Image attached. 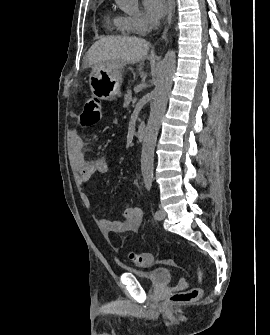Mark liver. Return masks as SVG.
<instances>
[{"mask_svg":"<svg viewBox=\"0 0 270 335\" xmlns=\"http://www.w3.org/2000/svg\"><path fill=\"white\" fill-rule=\"evenodd\" d=\"M149 42L135 36H107L95 42L87 52L89 66H105L109 72L125 64H136L147 56Z\"/></svg>","mask_w":270,"mask_h":335,"instance_id":"1","label":"liver"}]
</instances>
